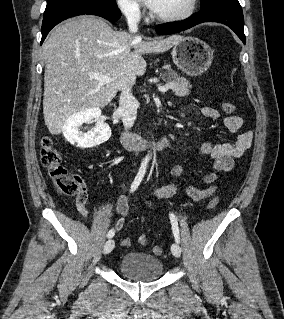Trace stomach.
Masks as SVG:
<instances>
[{
    "instance_id": "obj_1",
    "label": "stomach",
    "mask_w": 284,
    "mask_h": 319,
    "mask_svg": "<svg viewBox=\"0 0 284 319\" xmlns=\"http://www.w3.org/2000/svg\"><path fill=\"white\" fill-rule=\"evenodd\" d=\"M172 59L176 66L189 76L205 72L213 60L211 47L197 37H182L173 45Z\"/></svg>"
}]
</instances>
